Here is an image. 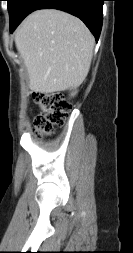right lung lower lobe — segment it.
I'll return each mask as SVG.
<instances>
[{"label":"right lung lower lobe","instance_id":"obj_1","mask_svg":"<svg viewBox=\"0 0 133 253\" xmlns=\"http://www.w3.org/2000/svg\"><path fill=\"white\" fill-rule=\"evenodd\" d=\"M105 0H25L18 21L10 28L12 33L20 22L38 9H58L80 18L98 41L102 28V7Z\"/></svg>","mask_w":133,"mask_h":253}]
</instances>
